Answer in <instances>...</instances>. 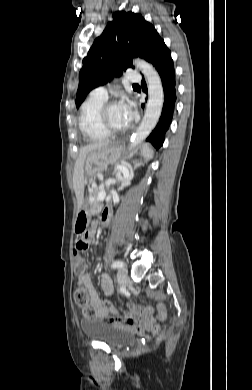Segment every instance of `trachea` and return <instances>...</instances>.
<instances>
[{"label": "trachea", "mask_w": 252, "mask_h": 390, "mask_svg": "<svg viewBox=\"0 0 252 390\" xmlns=\"http://www.w3.org/2000/svg\"><path fill=\"white\" fill-rule=\"evenodd\" d=\"M133 86H139L138 84H134Z\"/></svg>", "instance_id": "3493384b"}]
</instances>
